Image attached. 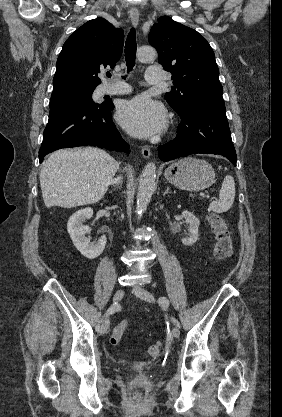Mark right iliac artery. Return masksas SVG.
<instances>
[{"label": "right iliac artery", "instance_id": "right-iliac-artery-1", "mask_svg": "<svg viewBox=\"0 0 282 417\" xmlns=\"http://www.w3.org/2000/svg\"><path fill=\"white\" fill-rule=\"evenodd\" d=\"M118 307H119V306H118V304H117V303L112 304V305L108 308V310L105 312V315H106V316H108V315H110V314L115 313V312L117 311ZM97 329H99V326H97Z\"/></svg>", "mask_w": 282, "mask_h": 417}]
</instances>
